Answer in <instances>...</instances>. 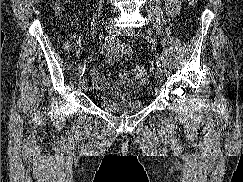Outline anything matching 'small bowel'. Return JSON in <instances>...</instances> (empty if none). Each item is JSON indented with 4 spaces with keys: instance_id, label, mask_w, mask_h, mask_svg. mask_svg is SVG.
Masks as SVG:
<instances>
[{
    "instance_id": "obj_1",
    "label": "small bowel",
    "mask_w": 243,
    "mask_h": 182,
    "mask_svg": "<svg viewBox=\"0 0 243 182\" xmlns=\"http://www.w3.org/2000/svg\"><path fill=\"white\" fill-rule=\"evenodd\" d=\"M181 0H166L165 13L169 19L174 18L180 7ZM102 52L111 65L116 64L125 55L131 52V48L118 40H113L102 47ZM90 76L94 87L98 90L113 91L116 94L121 93L122 90H130L133 88V83L129 78L126 70H120L117 74V80L111 84H105V79L97 67L90 69Z\"/></svg>"
}]
</instances>
